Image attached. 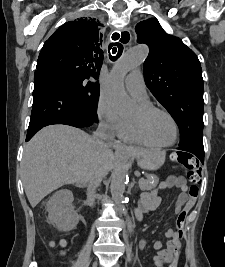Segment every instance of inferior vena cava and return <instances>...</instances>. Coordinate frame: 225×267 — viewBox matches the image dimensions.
Returning <instances> with one entry per match:
<instances>
[{
	"label": "inferior vena cava",
	"mask_w": 225,
	"mask_h": 267,
	"mask_svg": "<svg viewBox=\"0 0 225 267\" xmlns=\"http://www.w3.org/2000/svg\"><path fill=\"white\" fill-rule=\"evenodd\" d=\"M114 138V133L111 130V128L101 123L95 133V141L99 150V153L103 154L107 152L110 148L109 141ZM106 174V169L101 164H97L91 175L89 176L87 182H88V193L89 195H93L100 185L103 177Z\"/></svg>",
	"instance_id": "1"
}]
</instances>
